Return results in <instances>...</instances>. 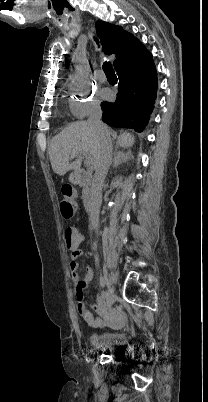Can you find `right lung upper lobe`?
<instances>
[{
    "label": "right lung upper lobe",
    "mask_w": 208,
    "mask_h": 402,
    "mask_svg": "<svg viewBox=\"0 0 208 402\" xmlns=\"http://www.w3.org/2000/svg\"><path fill=\"white\" fill-rule=\"evenodd\" d=\"M97 34L101 40L103 51L106 54H116L118 57L134 38L121 27L103 21L96 23ZM116 65V60L114 66Z\"/></svg>",
    "instance_id": "cb5924a9"
}]
</instances>
